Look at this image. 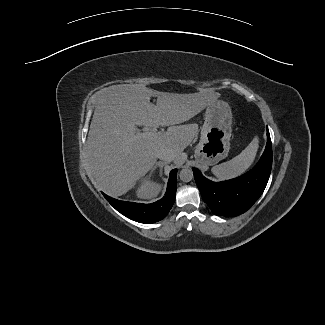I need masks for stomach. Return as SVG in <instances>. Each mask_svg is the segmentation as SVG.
Here are the masks:
<instances>
[{
  "instance_id": "1",
  "label": "stomach",
  "mask_w": 325,
  "mask_h": 325,
  "mask_svg": "<svg viewBox=\"0 0 325 325\" xmlns=\"http://www.w3.org/2000/svg\"><path fill=\"white\" fill-rule=\"evenodd\" d=\"M232 112L229 104L216 100L205 112L201 137L195 148V159L203 166H211L227 157L230 149Z\"/></svg>"
}]
</instances>
